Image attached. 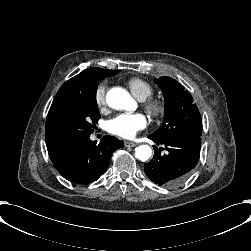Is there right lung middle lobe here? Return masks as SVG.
<instances>
[{
    "label": "right lung middle lobe",
    "instance_id": "right-lung-middle-lobe-1",
    "mask_svg": "<svg viewBox=\"0 0 251 251\" xmlns=\"http://www.w3.org/2000/svg\"><path fill=\"white\" fill-rule=\"evenodd\" d=\"M119 71L110 70L105 74L90 75L78 90L53 100L48 115L62 138L70 141L93 133L100 118L96 102L98 81Z\"/></svg>",
    "mask_w": 251,
    "mask_h": 251
}]
</instances>
